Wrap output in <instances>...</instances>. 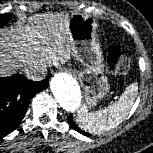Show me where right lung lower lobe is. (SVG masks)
<instances>
[{"instance_id":"right-lung-lower-lobe-1","label":"right lung lower lobe","mask_w":153,"mask_h":153,"mask_svg":"<svg viewBox=\"0 0 153 153\" xmlns=\"http://www.w3.org/2000/svg\"><path fill=\"white\" fill-rule=\"evenodd\" d=\"M48 83L47 78L35 82L21 75L0 78V138L19 126L32 97L45 90Z\"/></svg>"}]
</instances>
